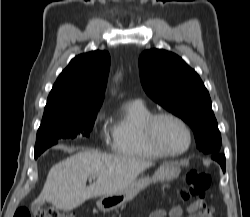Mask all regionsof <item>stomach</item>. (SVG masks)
I'll return each instance as SVG.
<instances>
[{
  "instance_id": "obj_1",
  "label": "stomach",
  "mask_w": 250,
  "mask_h": 217,
  "mask_svg": "<svg viewBox=\"0 0 250 217\" xmlns=\"http://www.w3.org/2000/svg\"><path fill=\"white\" fill-rule=\"evenodd\" d=\"M179 173L180 168L178 165L173 163L163 164L157 169L152 178L140 177L125 190L115 194L102 196L97 202V207L102 212L116 210L134 199L152 182L170 180L177 177Z\"/></svg>"
}]
</instances>
